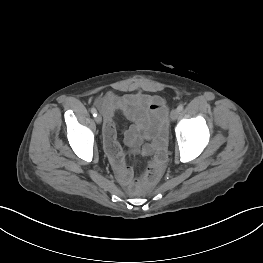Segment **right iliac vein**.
I'll list each match as a JSON object with an SVG mask.
<instances>
[{"label": "right iliac vein", "instance_id": "63e3f726", "mask_svg": "<svg viewBox=\"0 0 263 263\" xmlns=\"http://www.w3.org/2000/svg\"><path fill=\"white\" fill-rule=\"evenodd\" d=\"M95 121H96L97 124H100L102 122L101 115L98 114L97 116H95Z\"/></svg>", "mask_w": 263, "mask_h": 263}]
</instances>
